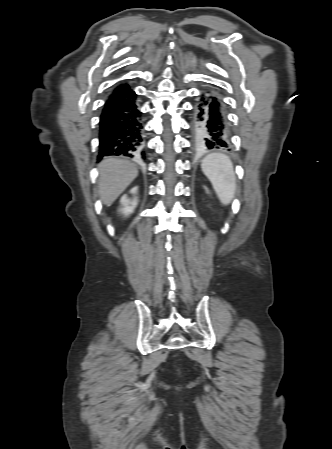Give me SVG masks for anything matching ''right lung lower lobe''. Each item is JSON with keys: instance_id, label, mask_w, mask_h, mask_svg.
Returning <instances> with one entry per match:
<instances>
[{"instance_id": "98d812e1", "label": "right lung lower lobe", "mask_w": 332, "mask_h": 449, "mask_svg": "<svg viewBox=\"0 0 332 449\" xmlns=\"http://www.w3.org/2000/svg\"><path fill=\"white\" fill-rule=\"evenodd\" d=\"M99 141V161L118 155L145 158L141 112L133 90L109 96L100 117Z\"/></svg>"}]
</instances>
